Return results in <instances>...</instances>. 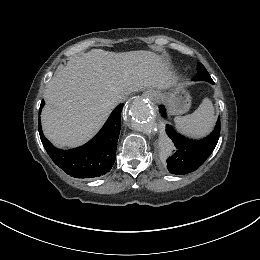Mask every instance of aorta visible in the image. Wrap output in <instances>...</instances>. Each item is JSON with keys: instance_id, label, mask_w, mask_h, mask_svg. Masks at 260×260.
Wrapping results in <instances>:
<instances>
[{"instance_id": "aorta-1", "label": "aorta", "mask_w": 260, "mask_h": 260, "mask_svg": "<svg viewBox=\"0 0 260 260\" xmlns=\"http://www.w3.org/2000/svg\"><path fill=\"white\" fill-rule=\"evenodd\" d=\"M127 124L135 131L151 133L153 130V110L143 98L134 99L126 113Z\"/></svg>"}]
</instances>
